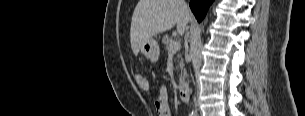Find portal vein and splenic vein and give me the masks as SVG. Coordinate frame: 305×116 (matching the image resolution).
I'll use <instances>...</instances> for the list:
<instances>
[{
    "label": "portal vein and splenic vein",
    "instance_id": "portal-vein-and-splenic-vein-1",
    "mask_svg": "<svg viewBox=\"0 0 305 116\" xmlns=\"http://www.w3.org/2000/svg\"><path fill=\"white\" fill-rule=\"evenodd\" d=\"M181 47L180 42L176 41L173 44L170 45L169 47V52L170 53H176Z\"/></svg>",
    "mask_w": 305,
    "mask_h": 116
}]
</instances>
